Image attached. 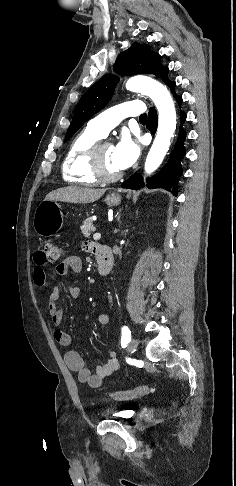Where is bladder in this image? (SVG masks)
Segmentation results:
<instances>
[{
    "label": "bladder",
    "mask_w": 236,
    "mask_h": 486,
    "mask_svg": "<svg viewBox=\"0 0 236 486\" xmlns=\"http://www.w3.org/2000/svg\"><path fill=\"white\" fill-rule=\"evenodd\" d=\"M113 416L116 419L127 421L133 417V413L131 411H120L118 413H115Z\"/></svg>",
    "instance_id": "1"
}]
</instances>
